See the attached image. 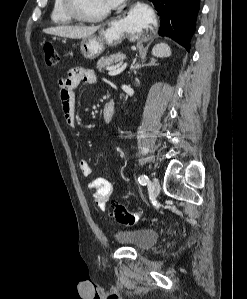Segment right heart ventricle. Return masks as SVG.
<instances>
[{
    "label": "right heart ventricle",
    "instance_id": "1",
    "mask_svg": "<svg viewBox=\"0 0 247 299\" xmlns=\"http://www.w3.org/2000/svg\"><path fill=\"white\" fill-rule=\"evenodd\" d=\"M51 21L57 25H67L73 22V19L66 13L63 0H54L50 13Z\"/></svg>",
    "mask_w": 247,
    "mask_h": 299
}]
</instances>
